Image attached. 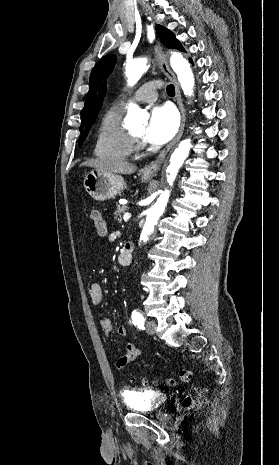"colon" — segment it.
I'll return each instance as SVG.
<instances>
[{
	"label": "colon",
	"instance_id": "5ec220e1",
	"mask_svg": "<svg viewBox=\"0 0 279 465\" xmlns=\"http://www.w3.org/2000/svg\"><path fill=\"white\" fill-rule=\"evenodd\" d=\"M90 219L97 230L99 235H104L106 233V222L100 211L94 209L90 212ZM180 379L184 382H188L191 378V372L189 370L183 369L180 371ZM167 386L173 387L176 384V381L172 378H169L165 381ZM194 400L191 396H187L183 399L181 403V408L183 410L189 409L193 406Z\"/></svg>",
	"mask_w": 279,
	"mask_h": 465
}]
</instances>
